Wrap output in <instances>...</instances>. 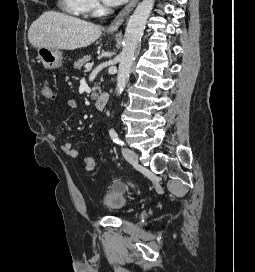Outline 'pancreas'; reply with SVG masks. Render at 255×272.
Returning a JSON list of instances; mask_svg holds the SVG:
<instances>
[{
	"mask_svg": "<svg viewBox=\"0 0 255 272\" xmlns=\"http://www.w3.org/2000/svg\"><path fill=\"white\" fill-rule=\"evenodd\" d=\"M90 60H91V57L89 55H86L74 63V68L81 70L82 66L87 64ZM92 90H93V93L91 96L93 98H96L98 96V93L96 92V90H98L100 92V87L98 85H95L92 88Z\"/></svg>",
	"mask_w": 255,
	"mask_h": 272,
	"instance_id": "cf45deb5",
	"label": "pancreas"
}]
</instances>
